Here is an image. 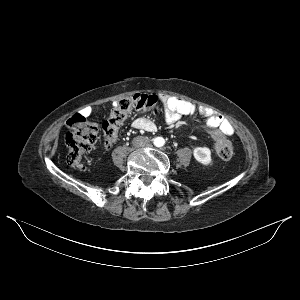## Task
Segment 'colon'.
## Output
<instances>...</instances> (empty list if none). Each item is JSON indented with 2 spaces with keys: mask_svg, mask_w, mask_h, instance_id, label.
Wrapping results in <instances>:
<instances>
[{
  "mask_svg": "<svg viewBox=\"0 0 300 300\" xmlns=\"http://www.w3.org/2000/svg\"><path fill=\"white\" fill-rule=\"evenodd\" d=\"M158 97L148 94H135L118 100L112 108L107 120L102 124V137L104 144L109 147L117 139L118 132L128 115L133 111L151 112L158 115L160 112ZM69 131L66 134L67 163L74 169L84 168L83 158L88 153L97 139V126L81 115L72 116L67 120ZM217 140L216 152L223 160H228L233 155L231 142L214 133Z\"/></svg>",
  "mask_w": 300,
  "mask_h": 300,
  "instance_id": "5ec220e1",
  "label": "colon"
}]
</instances>
